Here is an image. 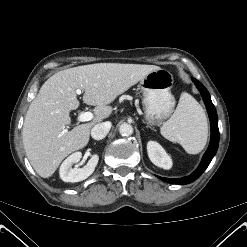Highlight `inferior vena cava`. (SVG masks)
Returning a JSON list of instances; mask_svg holds the SVG:
<instances>
[{
	"label": "inferior vena cava",
	"instance_id": "602c4592",
	"mask_svg": "<svg viewBox=\"0 0 247 247\" xmlns=\"http://www.w3.org/2000/svg\"><path fill=\"white\" fill-rule=\"evenodd\" d=\"M110 128L111 124L109 122L98 123L92 128L91 136L95 140H101L106 137Z\"/></svg>",
	"mask_w": 247,
	"mask_h": 247
}]
</instances>
